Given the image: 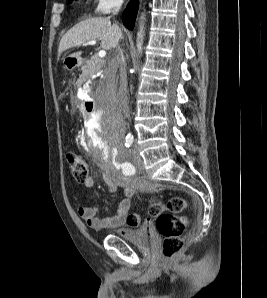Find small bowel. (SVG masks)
Listing matches in <instances>:
<instances>
[{"mask_svg":"<svg viewBox=\"0 0 267 298\" xmlns=\"http://www.w3.org/2000/svg\"><path fill=\"white\" fill-rule=\"evenodd\" d=\"M103 180L108 187L109 194H115L118 192L119 188L124 190L126 198L122 199L117 207L114 215L107 217H99L98 211L99 207L97 204L91 206H83L78 210L80 218L85 222V224L96 230L103 229H115L120 228L124 225L126 216L130 210L132 197L135 193L136 188L140 186H145L142 183L126 178L120 174L105 173ZM94 185L93 177H89L88 181L84 184L85 187H92ZM149 189H154L155 186L152 184L146 185ZM125 232V229L121 230Z\"/></svg>","mask_w":267,"mask_h":298,"instance_id":"obj_1","label":"small bowel"}]
</instances>
